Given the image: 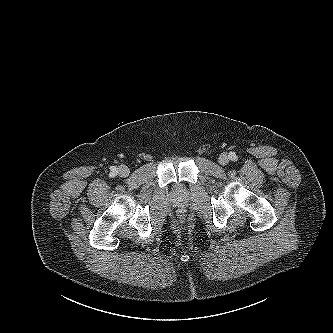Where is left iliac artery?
Segmentation results:
<instances>
[{
  "label": "left iliac artery",
  "mask_w": 333,
  "mask_h": 333,
  "mask_svg": "<svg viewBox=\"0 0 333 333\" xmlns=\"http://www.w3.org/2000/svg\"><path fill=\"white\" fill-rule=\"evenodd\" d=\"M229 157H230V159H231L232 161L237 160V156H236L234 153H231V154L229 155Z\"/></svg>",
  "instance_id": "44dca946"
}]
</instances>
